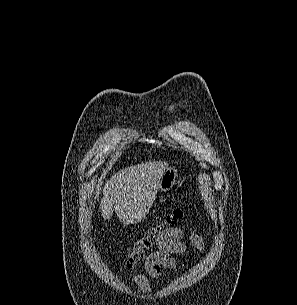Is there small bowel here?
<instances>
[{
    "instance_id": "small-bowel-1",
    "label": "small bowel",
    "mask_w": 297,
    "mask_h": 305,
    "mask_svg": "<svg viewBox=\"0 0 297 305\" xmlns=\"http://www.w3.org/2000/svg\"><path fill=\"white\" fill-rule=\"evenodd\" d=\"M185 232L180 227H169L157 235V249L144 262L146 274L135 275L133 282L143 292L151 290V280L160 278L165 270L176 267L174 254H184L188 250V243L184 240ZM190 242L194 247L203 246L202 237L198 232L190 234Z\"/></svg>"
}]
</instances>
